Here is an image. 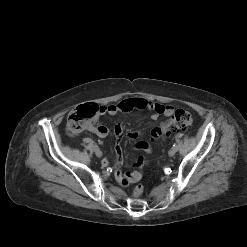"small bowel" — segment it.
<instances>
[{"mask_svg": "<svg viewBox=\"0 0 247 247\" xmlns=\"http://www.w3.org/2000/svg\"><path fill=\"white\" fill-rule=\"evenodd\" d=\"M135 109H148L152 111L151 119L153 121H156L160 115L171 116L174 112V108L169 105H163V104L151 102L144 98H126L117 104L100 107L99 115H104L106 113L110 115H116L122 112H130ZM88 129L99 137H106L110 133L115 135L117 139L115 145L116 161H115L113 173L116 181L120 185L128 186L129 184L135 183L141 179L142 172L139 169H141L146 164V161L144 160L143 157H139L136 163L134 164V166L138 170L126 171V172L122 170V164H123V152L121 148V138L123 133L122 124L115 125L112 130L101 125L99 126L91 125L89 126ZM128 137L132 140H135L139 137V133L138 132L129 133ZM135 148L139 150H143L145 152H150V147L144 141L137 142L135 144ZM102 164L104 166H108L110 164L109 159L104 158Z\"/></svg>", "mask_w": 247, "mask_h": 247, "instance_id": "obj_1", "label": "small bowel"}]
</instances>
